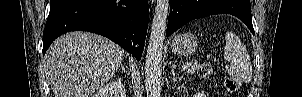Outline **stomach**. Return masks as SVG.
I'll list each match as a JSON object with an SVG mask.
<instances>
[{"instance_id":"1","label":"stomach","mask_w":302,"mask_h":97,"mask_svg":"<svg viewBox=\"0 0 302 97\" xmlns=\"http://www.w3.org/2000/svg\"><path fill=\"white\" fill-rule=\"evenodd\" d=\"M170 47L172 52L178 56H189L197 50L198 40L195 35L184 33L174 37Z\"/></svg>"}]
</instances>
